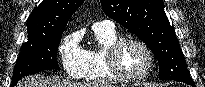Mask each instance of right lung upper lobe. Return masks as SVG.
Here are the masks:
<instances>
[{
  "instance_id": "obj_1",
  "label": "right lung upper lobe",
  "mask_w": 205,
  "mask_h": 87,
  "mask_svg": "<svg viewBox=\"0 0 205 87\" xmlns=\"http://www.w3.org/2000/svg\"><path fill=\"white\" fill-rule=\"evenodd\" d=\"M84 0H43L27 20L28 37L61 33Z\"/></svg>"
}]
</instances>
